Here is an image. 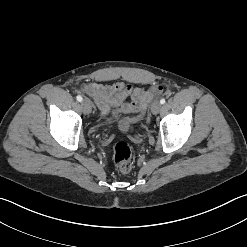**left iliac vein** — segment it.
I'll list each match as a JSON object with an SVG mask.
<instances>
[{"mask_svg": "<svg viewBox=\"0 0 247 247\" xmlns=\"http://www.w3.org/2000/svg\"><path fill=\"white\" fill-rule=\"evenodd\" d=\"M161 109V103L158 101L153 102L151 106V111L153 114H157Z\"/></svg>", "mask_w": 247, "mask_h": 247, "instance_id": "1", "label": "left iliac vein"}]
</instances>
